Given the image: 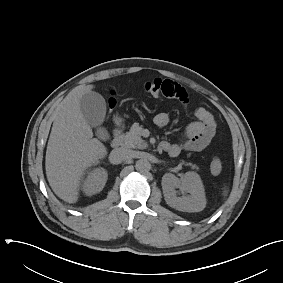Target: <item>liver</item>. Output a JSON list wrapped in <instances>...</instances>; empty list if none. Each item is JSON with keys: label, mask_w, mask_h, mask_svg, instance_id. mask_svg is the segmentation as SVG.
<instances>
[{"label": "liver", "mask_w": 283, "mask_h": 283, "mask_svg": "<svg viewBox=\"0 0 283 283\" xmlns=\"http://www.w3.org/2000/svg\"><path fill=\"white\" fill-rule=\"evenodd\" d=\"M93 85L81 87L63 101L48 140L45 169L53 192L68 203H75L86 169L103 159L107 149L97 138L80 110V99Z\"/></svg>", "instance_id": "1"}]
</instances>
